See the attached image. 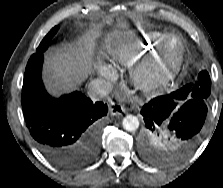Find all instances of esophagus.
Instances as JSON below:
<instances>
[{
	"mask_svg": "<svg viewBox=\"0 0 223 188\" xmlns=\"http://www.w3.org/2000/svg\"><path fill=\"white\" fill-rule=\"evenodd\" d=\"M126 111V108L122 104L116 102L110 103L109 112L111 115L118 116Z\"/></svg>",
	"mask_w": 223,
	"mask_h": 188,
	"instance_id": "obj_1",
	"label": "esophagus"
}]
</instances>
